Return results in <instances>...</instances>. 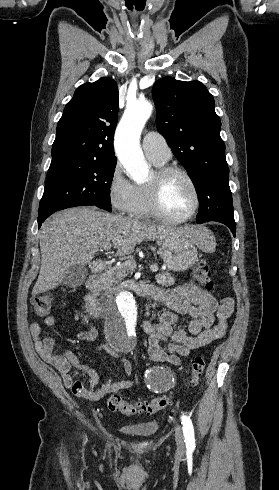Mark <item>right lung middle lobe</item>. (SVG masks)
Returning a JSON list of instances; mask_svg holds the SVG:
<instances>
[{"label": "right lung middle lobe", "instance_id": "right-lung-middle-lobe-1", "mask_svg": "<svg viewBox=\"0 0 279 490\" xmlns=\"http://www.w3.org/2000/svg\"><path fill=\"white\" fill-rule=\"evenodd\" d=\"M115 166L116 158H82L51 164L38 219L77 203L92 204L110 212Z\"/></svg>", "mask_w": 279, "mask_h": 490}]
</instances>
